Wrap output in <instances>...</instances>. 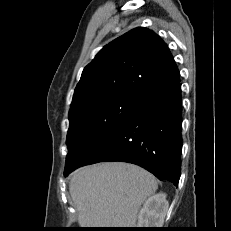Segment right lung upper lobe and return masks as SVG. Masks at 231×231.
<instances>
[{
	"instance_id": "right-lung-upper-lobe-1",
	"label": "right lung upper lobe",
	"mask_w": 231,
	"mask_h": 231,
	"mask_svg": "<svg viewBox=\"0 0 231 231\" xmlns=\"http://www.w3.org/2000/svg\"><path fill=\"white\" fill-rule=\"evenodd\" d=\"M179 83L180 73L166 43L138 27L104 46L84 68L69 112L113 95L141 98Z\"/></svg>"
}]
</instances>
